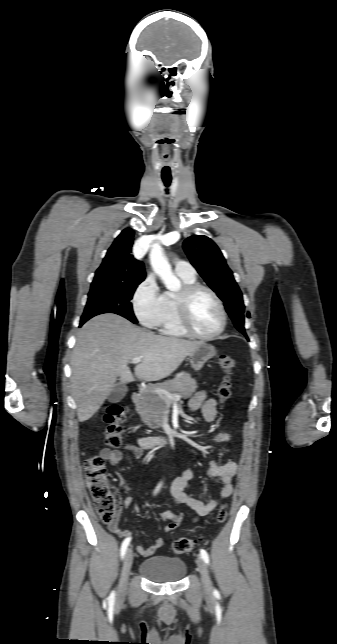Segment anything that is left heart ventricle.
Segmentation results:
<instances>
[{
    "label": "left heart ventricle",
    "instance_id": "1",
    "mask_svg": "<svg viewBox=\"0 0 337 644\" xmlns=\"http://www.w3.org/2000/svg\"><path fill=\"white\" fill-rule=\"evenodd\" d=\"M190 320L194 330L202 335H210L219 328L221 323L220 310L208 292L200 291L192 299Z\"/></svg>",
    "mask_w": 337,
    "mask_h": 644
}]
</instances>
